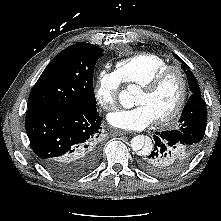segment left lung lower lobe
<instances>
[{
    "mask_svg": "<svg viewBox=\"0 0 221 221\" xmlns=\"http://www.w3.org/2000/svg\"><path fill=\"white\" fill-rule=\"evenodd\" d=\"M152 151L139 160L140 167L147 173L166 177L184 169L193 159L198 148L178 130L155 133Z\"/></svg>",
    "mask_w": 221,
    "mask_h": 221,
    "instance_id": "left-lung-lower-lobe-1",
    "label": "left lung lower lobe"
}]
</instances>
